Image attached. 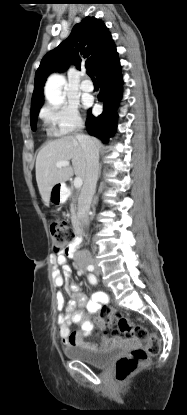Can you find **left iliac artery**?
Instances as JSON below:
<instances>
[{
    "label": "left iliac artery",
    "instance_id": "left-iliac-artery-1",
    "mask_svg": "<svg viewBox=\"0 0 187 415\" xmlns=\"http://www.w3.org/2000/svg\"><path fill=\"white\" fill-rule=\"evenodd\" d=\"M89 281H90L92 284H95V283H96V278L94 277V275H90V276H89Z\"/></svg>",
    "mask_w": 187,
    "mask_h": 415
}]
</instances>
